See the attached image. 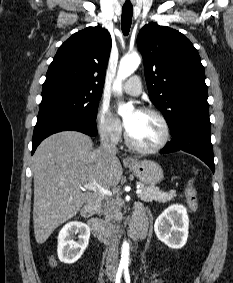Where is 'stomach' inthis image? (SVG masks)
Instances as JSON below:
<instances>
[{
  "label": "stomach",
  "instance_id": "obj_1",
  "mask_svg": "<svg viewBox=\"0 0 233 283\" xmlns=\"http://www.w3.org/2000/svg\"><path fill=\"white\" fill-rule=\"evenodd\" d=\"M128 167L142 183L148 186H155L164 178L161 166L151 160H135L128 164Z\"/></svg>",
  "mask_w": 233,
  "mask_h": 283
}]
</instances>
